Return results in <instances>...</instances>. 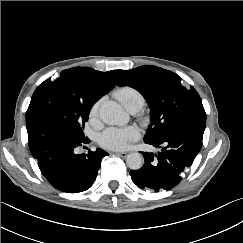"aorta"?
<instances>
[{"mask_svg":"<svg viewBox=\"0 0 243 243\" xmlns=\"http://www.w3.org/2000/svg\"><path fill=\"white\" fill-rule=\"evenodd\" d=\"M100 119L108 125H125L128 122V116L122 109V107L114 102H104L99 110ZM143 156L134 152L127 156L126 162L130 169L138 170L143 165Z\"/></svg>","mask_w":243,"mask_h":243,"instance_id":"obj_1","label":"aorta"}]
</instances>
